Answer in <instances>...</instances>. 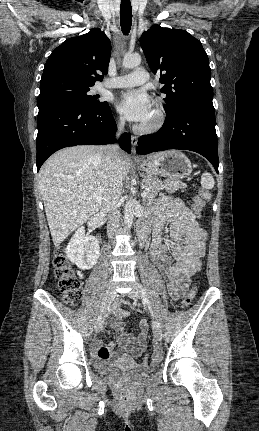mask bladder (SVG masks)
I'll list each match as a JSON object with an SVG mask.
<instances>
[{"label": "bladder", "mask_w": 259, "mask_h": 431, "mask_svg": "<svg viewBox=\"0 0 259 431\" xmlns=\"http://www.w3.org/2000/svg\"><path fill=\"white\" fill-rule=\"evenodd\" d=\"M152 370L153 369L151 367H149V368H138V367L134 366L133 364L126 362V361H121V362H118L116 364L103 366L101 368V371L105 374H119V373H128V372L145 374V373L152 372Z\"/></svg>", "instance_id": "31cf9c89"}]
</instances>
